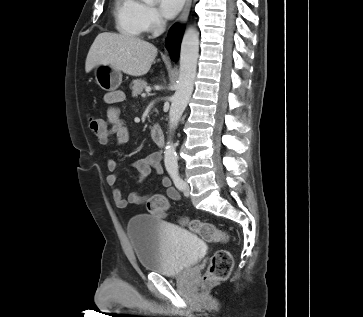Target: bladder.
Returning <instances> with one entry per match:
<instances>
[{"instance_id": "bladder-1", "label": "bladder", "mask_w": 363, "mask_h": 317, "mask_svg": "<svg viewBox=\"0 0 363 317\" xmlns=\"http://www.w3.org/2000/svg\"><path fill=\"white\" fill-rule=\"evenodd\" d=\"M127 231L139 265L162 275L187 271L206 251L201 236L150 215L133 217Z\"/></svg>"}]
</instances>
